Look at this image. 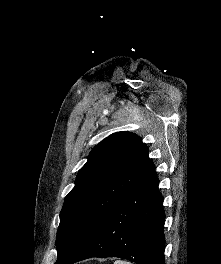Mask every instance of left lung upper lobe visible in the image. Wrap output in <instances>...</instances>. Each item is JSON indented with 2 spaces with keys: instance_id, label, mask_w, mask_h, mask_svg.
Returning a JSON list of instances; mask_svg holds the SVG:
<instances>
[{
  "instance_id": "1",
  "label": "left lung upper lobe",
  "mask_w": 221,
  "mask_h": 264,
  "mask_svg": "<svg viewBox=\"0 0 221 264\" xmlns=\"http://www.w3.org/2000/svg\"><path fill=\"white\" fill-rule=\"evenodd\" d=\"M139 136L116 132L93 148L66 196L56 237L58 259L89 232L154 169Z\"/></svg>"
}]
</instances>
